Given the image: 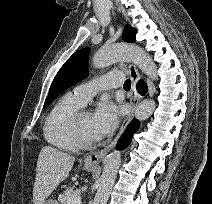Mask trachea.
Wrapping results in <instances>:
<instances>
[{
  "label": "trachea",
  "instance_id": "3493384b",
  "mask_svg": "<svg viewBox=\"0 0 212 204\" xmlns=\"http://www.w3.org/2000/svg\"><path fill=\"white\" fill-rule=\"evenodd\" d=\"M125 90H129L131 88V80L127 79L123 85Z\"/></svg>",
  "mask_w": 212,
  "mask_h": 204
}]
</instances>
